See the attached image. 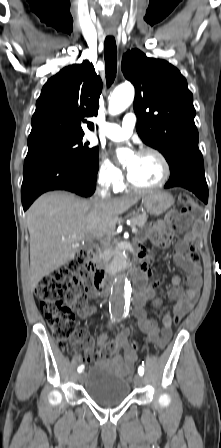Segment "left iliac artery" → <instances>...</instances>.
Masks as SVG:
<instances>
[{
	"mask_svg": "<svg viewBox=\"0 0 221 448\" xmlns=\"http://www.w3.org/2000/svg\"><path fill=\"white\" fill-rule=\"evenodd\" d=\"M144 365V364H143ZM138 373H139V375H143L144 374V368L142 367V366H140L139 368H138Z\"/></svg>",
	"mask_w": 221,
	"mask_h": 448,
	"instance_id": "1",
	"label": "left iliac artery"
}]
</instances>
